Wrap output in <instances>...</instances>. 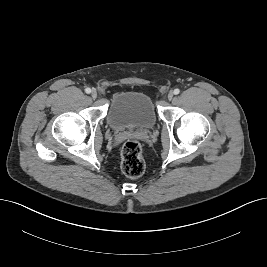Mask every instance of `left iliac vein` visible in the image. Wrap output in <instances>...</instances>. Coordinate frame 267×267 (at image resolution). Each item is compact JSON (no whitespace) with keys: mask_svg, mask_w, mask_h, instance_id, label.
<instances>
[{"mask_svg":"<svg viewBox=\"0 0 267 267\" xmlns=\"http://www.w3.org/2000/svg\"><path fill=\"white\" fill-rule=\"evenodd\" d=\"M173 97H174V93H173L172 91H170V92L168 93V96H167L168 100H169V101L172 100Z\"/></svg>","mask_w":267,"mask_h":267,"instance_id":"1","label":"left iliac vein"}]
</instances>
